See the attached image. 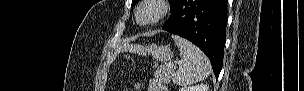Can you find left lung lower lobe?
<instances>
[{"instance_id": "obj_1", "label": "left lung lower lobe", "mask_w": 304, "mask_h": 91, "mask_svg": "<svg viewBox=\"0 0 304 91\" xmlns=\"http://www.w3.org/2000/svg\"><path fill=\"white\" fill-rule=\"evenodd\" d=\"M228 0H179L163 30L197 45L209 58L216 79L223 64Z\"/></svg>"}]
</instances>
